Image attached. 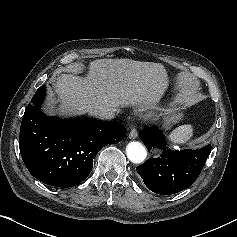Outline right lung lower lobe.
Instances as JSON below:
<instances>
[{"label":"right lung lower lobe","mask_w":237,"mask_h":237,"mask_svg":"<svg viewBox=\"0 0 237 237\" xmlns=\"http://www.w3.org/2000/svg\"><path fill=\"white\" fill-rule=\"evenodd\" d=\"M45 91L46 86H41L25 109L20 153L37 180L56 187H72L88 177L93 158L104 146L125 138L126 128L115 121L46 116L38 107Z\"/></svg>","instance_id":"1"}]
</instances>
